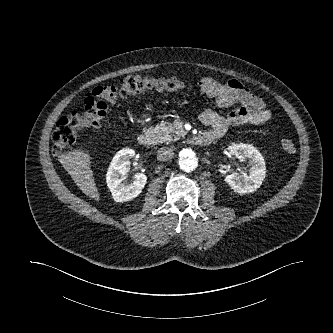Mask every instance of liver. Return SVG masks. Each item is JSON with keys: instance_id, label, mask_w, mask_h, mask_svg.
Wrapping results in <instances>:
<instances>
[{"instance_id": "liver-1", "label": "liver", "mask_w": 333, "mask_h": 333, "mask_svg": "<svg viewBox=\"0 0 333 333\" xmlns=\"http://www.w3.org/2000/svg\"><path fill=\"white\" fill-rule=\"evenodd\" d=\"M59 161L84 194L97 201L100 200L90 166V156L87 153L75 150L62 155Z\"/></svg>"}]
</instances>
